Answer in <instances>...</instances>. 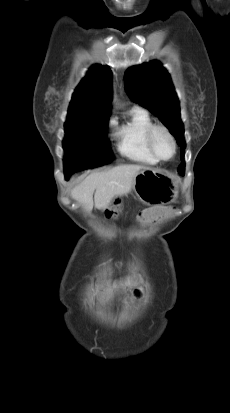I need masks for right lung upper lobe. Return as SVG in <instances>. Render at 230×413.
Returning a JSON list of instances; mask_svg holds the SVG:
<instances>
[{"label":"right lung upper lobe","instance_id":"1","mask_svg":"<svg viewBox=\"0 0 230 413\" xmlns=\"http://www.w3.org/2000/svg\"><path fill=\"white\" fill-rule=\"evenodd\" d=\"M112 72L108 66L94 65L76 88L65 125L109 118Z\"/></svg>","mask_w":230,"mask_h":413}]
</instances>
